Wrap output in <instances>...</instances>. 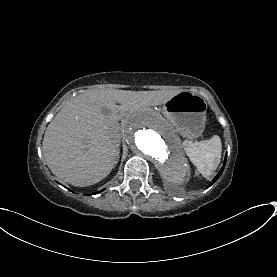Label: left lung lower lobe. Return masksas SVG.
Instances as JSON below:
<instances>
[{"instance_id": "obj_1", "label": "left lung lower lobe", "mask_w": 277, "mask_h": 277, "mask_svg": "<svg viewBox=\"0 0 277 277\" xmlns=\"http://www.w3.org/2000/svg\"><path fill=\"white\" fill-rule=\"evenodd\" d=\"M226 157H227V155H226ZM226 157H225L224 165H225V163H226ZM223 170H224V167L221 168L220 172H219L218 175L213 179L212 183H211L209 186H211V185L220 177V175L222 174ZM209 186H208V187H209Z\"/></svg>"}]
</instances>
